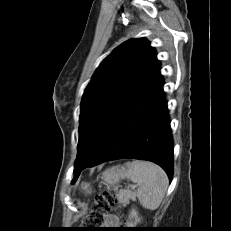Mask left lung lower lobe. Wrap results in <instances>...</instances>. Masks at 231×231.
<instances>
[{
  "instance_id": "0a47b994",
  "label": "left lung lower lobe",
  "mask_w": 231,
  "mask_h": 231,
  "mask_svg": "<svg viewBox=\"0 0 231 231\" xmlns=\"http://www.w3.org/2000/svg\"><path fill=\"white\" fill-rule=\"evenodd\" d=\"M133 158L160 165L172 179L173 138L159 62L111 120L85 164L74 170V183L86 167Z\"/></svg>"
}]
</instances>
